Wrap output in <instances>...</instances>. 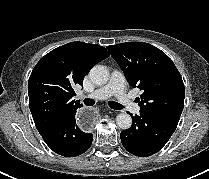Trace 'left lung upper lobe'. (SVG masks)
Returning <instances> with one entry per match:
<instances>
[{"label": "left lung upper lobe", "instance_id": "5c2ea615", "mask_svg": "<svg viewBox=\"0 0 209 179\" xmlns=\"http://www.w3.org/2000/svg\"><path fill=\"white\" fill-rule=\"evenodd\" d=\"M132 87L142 90V111L180 117L184 83L172 60L160 49L144 42L107 46Z\"/></svg>", "mask_w": 209, "mask_h": 179}]
</instances>
